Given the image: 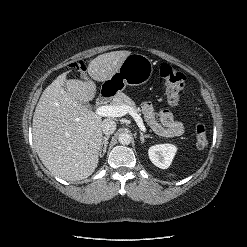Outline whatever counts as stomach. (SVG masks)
Returning <instances> with one entry per match:
<instances>
[{
    "instance_id": "stomach-1",
    "label": "stomach",
    "mask_w": 247,
    "mask_h": 247,
    "mask_svg": "<svg viewBox=\"0 0 247 247\" xmlns=\"http://www.w3.org/2000/svg\"><path fill=\"white\" fill-rule=\"evenodd\" d=\"M153 74V62L147 56L134 53L127 56L119 70L102 83V89L118 94L127 85L146 83Z\"/></svg>"
}]
</instances>
